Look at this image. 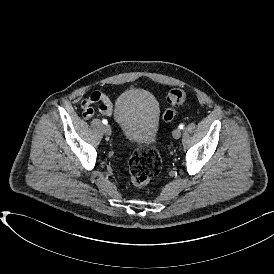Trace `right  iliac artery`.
I'll return each instance as SVG.
<instances>
[{"mask_svg":"<svg viewBox=\"0 0 274 274\" xmlns=\"http://www.w3.org/2000/svg\"><path fill=\"white\" fill-rule=\"evenodd\" d=\"M102 122H103V124H107L108 123V121L106 119H103Z\"/></svg>","mask_w":274,"mask_h":274,"instance_id":"82829eb1","label":"right iliac artery"}]
</instances>
